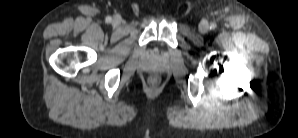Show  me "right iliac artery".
Here are the masks:
<instances>
[{"label": "right iliac artery", "mask_w": 298, "mask_h": 138, "mask_svg": "<svg viewBox=\"0 0 298 138\" xmlns=\"http://www.w3.org/2000/svg\"><path fill=\"white\" fill-rule=\"evenodd\" d=\"M111 20H112V18H111L110 16H107L106 19H105V21H106L107 23H110Z\"/></svg>", "instance_id": "right-iliac-artery-1"}]
</instances>
